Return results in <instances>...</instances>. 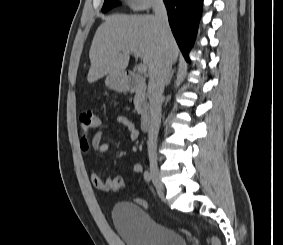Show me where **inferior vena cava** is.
<instances>
[{"label":"inferior vena cava","mask_w":283,"mask_h":245,"mask_svg":"<svg viewBox=\"0 0 283 245\" xmlns=\"http://www.w3.org/2000/svg\"><path fill=\"white\" fill-rule=\"evenodd\" d=\"M153 11L158 21L163 39L171 35L168 15L162 0L153 1ZM171 71V61L166 53L153 73L148 84V97L150 102V130L148 134V155L151 160H156L157 137L161 124V101L164 87Z\"/></svg>","instance_id":"obj_1"}]
</instances>
